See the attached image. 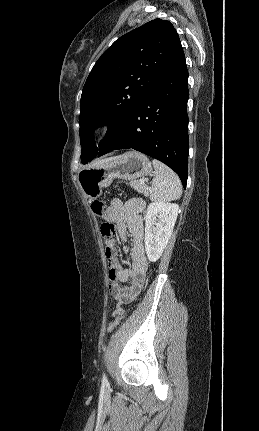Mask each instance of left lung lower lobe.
I'll return each instance as SVG.
<instances>
[{
    "label": "left lung lower lobe",
    "instance_id": "0a47b994",
    "mask_svg": "<svg viewBox=\"0 0 259 431\" xmlns=\"http://www.w3.org/2000/svg\"><path fill=\"white\" fill-rule=\"evenodd\" d=\"M188 94V71L181 48L115 134L99 147L98 157L112 150L135 149L168 165L186 187Z\"/></svg>",
    "mask_w": 259,
    "mask_h": 431
}]
</instances>
